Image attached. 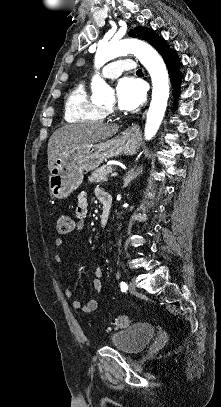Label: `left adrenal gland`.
<instances>
[{
  "instance_id": "a2214340",
  "label": "left adrenal gland",
  "mask_w": 221,
  "mask_h": 407,
  "mask_svg": "<svg viewBox=\"0 0 221 407\" xmlns=\"http://www.w3.org/2000/svg\"><path fill=\"white\" fill-rule=\"evenodd\" d=\"M143 172V167H134L132 168L130 171L127 172V174L125 175L124 179H123V186L122 188L127 187L130 182L134 179H136L140 174H142Z\"/></svg>"
}]
</instances>
